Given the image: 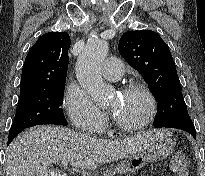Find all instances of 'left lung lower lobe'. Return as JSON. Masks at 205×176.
Returning <instances> with one entry per match:
<instances>
[{"instance_id": "1", "label": "left lung lower lobe", "mask_w": 205, "mask_h": 176, "mask_svg": "<svg viewBox=\"0 0 205 176\" xmlns=\"http://www.w3.org/2000/svg\"><path fill=\"white\" fill-rule=\"evenodd\" d=\"M163 127L176 128V129L187 131L189 134H191L196 139V130H195L194 124L192 120L190 119V117L179 119L177 121L165 124Z\"/></svg>"}]
</instances>
